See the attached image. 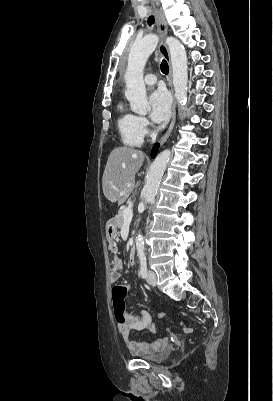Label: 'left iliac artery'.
<instances>
[{"mask_svg":"<svg viewBox=\"0 0 273 401\" xmlns=\"http://www.w3.org/2000/svg\"><path fill=\"white\" fill-rule=\"evenodd\" d=\"M140 274L143 278H146V276H147L146 257L140 258Z\"/></svg>","mask_w":273,"mask_h":401,"instance_id":"44dca946","label":"left iliac artery"}]
</instances>
